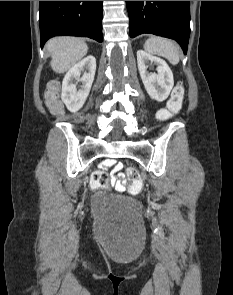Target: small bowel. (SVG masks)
<instances>
[{
	"mask_svg": "<svg viewBox=\"0 0 233 295\" xmlns=\"http://www.w3.org/2000/svg\"><path fill=\"white\" fill-rule=\"evenodd\" d=\"M105 168L113 167V177H112V185L115 187L118 191H124L125 187L121 183L120 178H123L124 175L120 172L123 168V165L121 163L116 162L113 159H109L105 161L104 163Z\"/></svg>",
	"mask_w": 233,
	"mask_h": 295,
	"instance_id": "c3829d8e",
	"label": "small bowel"
}]
</instances>
